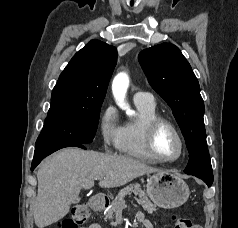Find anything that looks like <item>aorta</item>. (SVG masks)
I'll list each match as a JSON object with an SVG mask.
<instances>
[{"label":"aorta","mask_w":238,"mask_h":228,"mask_svg":"<svg viewBox=\"0 0 238 228\" xmlns=\"http://www.w3.org/2000/svg\"><path fill=\"white\" fill-rule=\"evenodd\" d=\"M129 86V77L126 73L122 72L115 76L112 83V92L118 106L126 110L127 114H132L128 104L125 102L126 92Z\"/></svg>","instance_id":"762f6f07"}]
</instances>
